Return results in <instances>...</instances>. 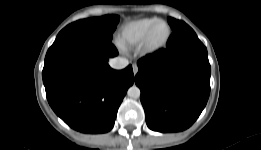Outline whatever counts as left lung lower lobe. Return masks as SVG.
<instances>
[{
	"instance_id": "left-lung-lower-lobe-1",
	"label": "left lung lower lobe",
	"mask_w": 261,
	"mask_h": 150,
	"mask_svg": "<svg viewBox=\"0 0 261 150\" xmlns=\"http://www.w3.org/2000/svg\"><path fill=\"white\" fill-rule=\"evenodd\" d=\"M135 76L148 127L178 132L190 127L210 94L211 67L206 47L185 25L174 30L166 49L142 57Z\"/></svg>"
}]
</instances>
